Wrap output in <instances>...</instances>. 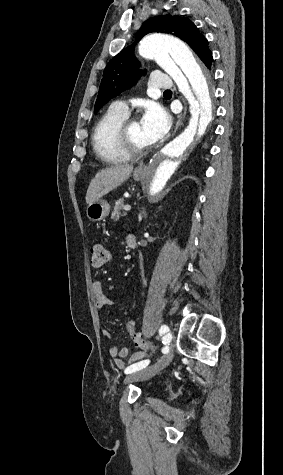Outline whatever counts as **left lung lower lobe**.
<instances>
[{"label": "left lung lower lobe", "mask_w": 283, "mask_h": 475, "mask_svg": "<svg viewBox=\"0 0 283 475\" xmlns=\"http://www.w3.org/2000/svg\"><path fill=\"white\" fill-rule=\"evenodd\" d=\"M212 61H213L212 53L209 50V51H207L206 59L203 62L210 69Z\"/></svg>", "instance_id": "obj_1"}]
</instances>
